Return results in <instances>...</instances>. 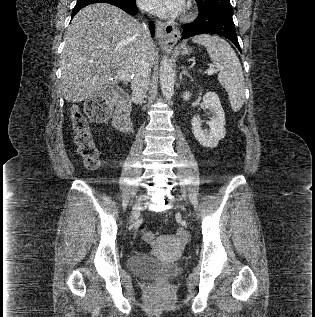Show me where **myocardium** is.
Listing matches in <instances>:
<instances>
[{"instance_id": "myocardium-1", "label": "myocardium", "mask_w": 315, "mask_h": 317, "mask_svg": "<svg viewBox=\"0 0 315 317\" xmlns=\"http://www.w3.org/2000/svg\"><path fill=\"white\" fill-rule=\"evenodd\" d=\"M191 15H192V12H191L190 8H188V10L184 14V18H190Z\"/></svg>"}]
</instances>
